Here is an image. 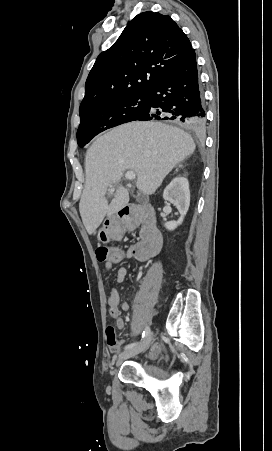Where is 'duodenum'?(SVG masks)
Masks as SVG:
<instances>
[{"instance_id": "1", "label": "duodenum", "mask_w": 272, "mask_h": 451, "mask_svg": "<svg viewBox=\"0 0 272 451\" xmlns=\"http://www.w3.org/2000/svg\"><path fill=\"white\" fill-rule=\"evenodd\" d=\"M141 226L142 241L130 249V255L137 260H147L158 254L162 247V235L156 225L153 208L150 205H128L119 211V217L110 221L108 234L113 239H121L125 233Z\"/></svg>"}]
</instances>
